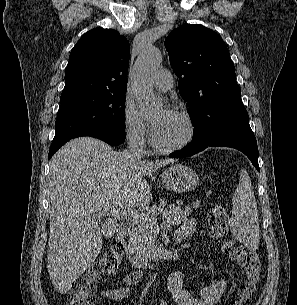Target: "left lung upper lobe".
Masks as SVG:
<instances>
[{"instance_id": "5c2ea615", "label": "left lung upper lobe", "mask_w": 297, "mask_h": 305, "mask_svg": "<svg viewBox=\"0 0 297 305\" xmlns=\"http://www.w3.org/2000/svg\"><path fill=\"white\" fill-rule=\"evenodd\" d=\"M165 48L195 126L194 138H201L215 122L244 109L234 64L218 34L199 24H186L168 35Z\"/></svg>"}]
</instances>
